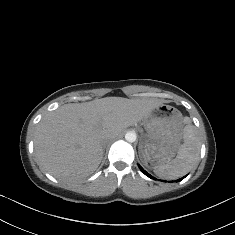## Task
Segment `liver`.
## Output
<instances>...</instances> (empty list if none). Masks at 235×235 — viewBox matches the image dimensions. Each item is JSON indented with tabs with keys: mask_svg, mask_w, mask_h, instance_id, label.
I'll list each match as a JSON object with an SVG mask.
<instances>
[{
	"mask_svg": "<svg viewBox=\"0 0 235 235\" xmlns=\"http://www.w3.org/2000/svg\"><path fill=\"white\" fill-rule=\"evenodd\" d=\"M161 104L157 98L107 97L49 112L34 131L40 170L63 182L89 176L103 158L101 142L136 125Z\"/></svg>",
	"mask_w": 235,
	"mask_h": 235,
	"instance_id": "obj_1",
	"label": "liver"
}]
</instances>
